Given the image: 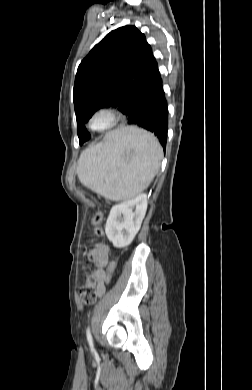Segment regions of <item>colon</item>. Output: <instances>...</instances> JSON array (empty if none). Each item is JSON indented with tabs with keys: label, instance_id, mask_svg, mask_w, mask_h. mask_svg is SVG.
Returning a JSON list of instances; mask_svg holds the SVG:
<instances>
[{
	"label": "colon",
	"instance_id": "1",
	"mask_svg": "<svg viewBox=\"0 0 252 390\" xmlns=\"http://www.w3.org/2000/svg\"><path fill=\"white\" fill-rule=\"evenodd\" d=\"M102 218H103L102 213L97 212L93 217V223L95 225H98L102 221ZM95 233L102 234V230L99 227H96ZM109 269L110 271H112L113 266H111ZM80 297L82 302L86 305H91L95 302L97 298V287H96L95 280L92 276H89L87 278L86 283L80 289Z\"/></svg>",
	"mask_w": 252,
	"mask_h": 390
}]
</instances>
